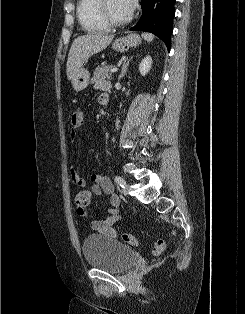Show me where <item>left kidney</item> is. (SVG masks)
Here are the masks:
<instances>
[{"label": "left kidney", "instance_id": "1", "mask_svg": "<svg viewBox=\"0 0 245 314\" xmlns=\"http://www.w3.org/2000/svg\"><path fill=\"white\" fill-rule=\"evenodd\" d=\"M152 66V58L148 55L142 61L139 65V71L142 76H145L151 69Z\"/></svg>", "mask_w": 245, "mask_h": 314}]
</instances>
